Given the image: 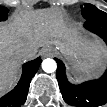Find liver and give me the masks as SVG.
Here are the masks:
<instances>
[{
    "mask_svg": "<svg viewBox=\"0 0 107 107\" xmlns=\"http://www.w3.org/2000/svg\"><path fill=\"white\" fill-rule=\"evenodd\" d=\"M46 45L76 47L74 61L82 58L95 63L106 55L98 41L84 43L68 26L62 12L40 9L15 13L9 23L0 26L1 93L16 83L20 65L28 59L21 56V51L29 49L37 54L39 48Z\"/></svg>",
    "mask_w": 107,
    "mask_h": 107,
    "instance_id": "1",
    "label": "liver"
}]
</instances>
